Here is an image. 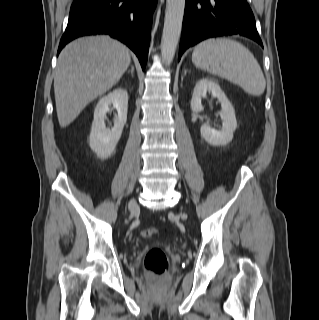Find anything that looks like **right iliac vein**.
I'll list each match as a JSON object with an SVG mask.
<instances>
[{"label":"right iliac vein","mask_w":319,"mask_h":320,"mask_svg":"<svg viewBox=\"0 0 319 320\" xmlns=\"http://www.w3.org/2000/svg\"><path fill=\"white\" fill-rule=\"evenodd\" d=\"M128 209L131 213H135L138 211L139 207L135 199L130 200Z\"/></svg>","instance_id":"obj_1"}]
</instances>
